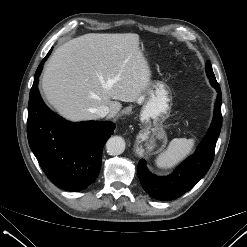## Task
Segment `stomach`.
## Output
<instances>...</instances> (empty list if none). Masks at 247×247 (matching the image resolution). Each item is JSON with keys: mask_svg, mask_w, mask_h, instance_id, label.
<instances>
[{"mask_svg": "<svg viewBox=\"0 0 247 247\" xmlns=\"http://www.w3.org/2000/svg\"><path fill=\"white\" fill-rule=\"evenodd\" d=\"M137 102L143 103L140 120L146 126L161 125L170 115L172 93L167 84L162 81L151 82Z\"/></svg>", "mask_w": 247, "mask_h": 247, "instance_id": "stomach-1", "label": "stomach"}]
</instances>
